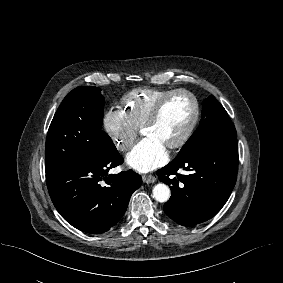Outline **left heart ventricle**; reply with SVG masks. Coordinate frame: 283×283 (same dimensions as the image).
<instances>
[{
    "label": "left heart ventricle",
    "instance_id": "obj_1",
    "mask_svg": "<svg viewBox=\"0 0 283 283\" xmlns=\"http://www.w3.org/2000/svg\"><path fill=\"white\" fill-rule=\"evenodd\" d=\"M194 115V105L185 95H176L163 108L158 121L142 133L145 137H153L166 147L176 142L188 128Z\"/></svg>",
    "mask_w": 283,
    "mask_h": 283
}]
</instances>
